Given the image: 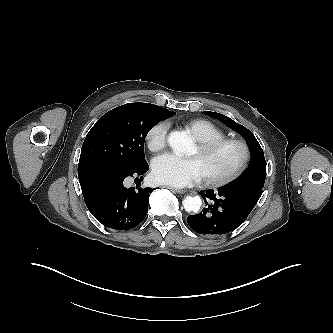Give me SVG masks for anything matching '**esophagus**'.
Returning <instances> with one entry per match:
<instances>
[{"label":"esophagus","mask_w":333,"mask_h":333,"mask_svg":"<svg viewBox=\"0 0 333 333\" xmlns=\"http://www.w3.org/2000/svg\"><path fill=\"white\" fill-rule=\"evenodd\" d=\"M167 188L170 189L171 191L179 193V194L185 193V190H183V189H177V188H174V187H171V186H167Z\"/></svg>","instance_id":"esophagus-1"}]
</instances>
